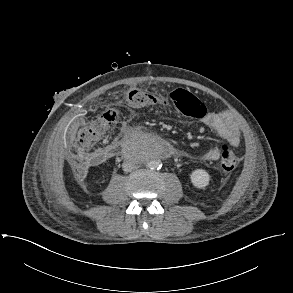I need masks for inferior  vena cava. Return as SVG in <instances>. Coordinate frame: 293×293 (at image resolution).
<instances>
[{
  "mask_svg": "<svg viewBox=\"0 0 293 293\" xmlns=\"http://www.w3.org/2000/svg\"><path fill=\"white\" fill-rule=\"evenodd\" d=\"M122 168H123V171L130 172L136 168V165H135V163H133L131 161H124L122 164Z\"/></svg>",
  "mask_w": 293,
  "mask_h": 293,
  "instance_id": "1",
  "label": "inferior vena cava"
}]
</instances>
